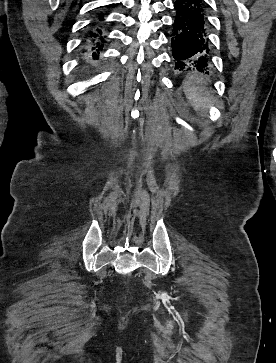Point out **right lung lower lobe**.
<instances>
[{"label": "right lung lower lobe", "mask_w": 276, "mask_h": 363, "mask_svg": "<svg viewBox=\"0 0 276 363\" xmlns=\"http://www.w3.org/2000/svg\"><path fill=\"white\" fill-rule=\"evenodd\" d=\"M105 13H101L96 16L93 22L89 26V30L84 39V46L94 51L93 56L98 58V54L103 51L104 43L106 42V27L104 22Z\"/></svg>", "instance_id": "98d812e1"}]
</instances>
